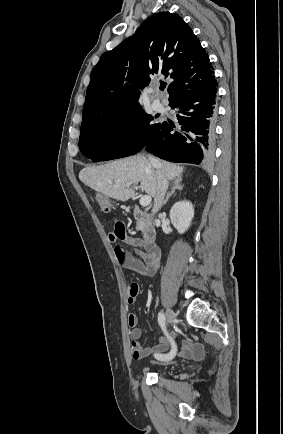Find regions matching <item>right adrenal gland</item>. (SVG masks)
<instances>
[{"instance_id":"2a0ac1e0","label":"right adrenal gland","mask_w":283,"mask_h":434,"mask_svg":"<svg viewBox=\"0 0 283 434\" xmlns=\"http://www.w3.org/2000/svg\"><path fill=\"white\" fill-rule=\"evenodd\" d=\"M182 178L178 177L177 179H175V181L173 182V186H172V190L171 192H169L163 202V205H166L169 198L175 194L176 190H182L183 189V185H181Z\"/></svg>"}]
</instances>
